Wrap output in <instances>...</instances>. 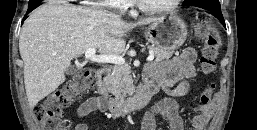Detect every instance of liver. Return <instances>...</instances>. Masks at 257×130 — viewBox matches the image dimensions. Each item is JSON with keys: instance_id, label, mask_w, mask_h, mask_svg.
Segmentation results:
<instances>
[{"instance_id": "liver-1", "label": "liver", "mask_w": 257, "mask_h": 130, "mask_svg": "<svg viewBox=\"0 0 257 130\" xmlns=\"http://www.w3.org/2000/svg\"><path fill=\"white\" fill-rule=\"evenodd\" d=\"M157 18L128 23L108 12L50 0L24 22L19 51L24 62V83L30 108L54 92L64 81L71 60L88 49L101 55H120L123 36Z\"/></svg>"}]
</instances>
